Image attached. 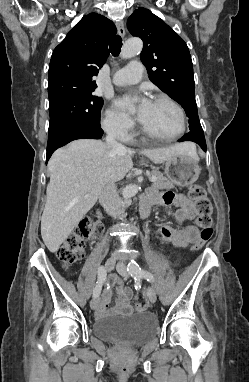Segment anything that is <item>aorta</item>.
I'll return each mask as SVG.
<instances>
[{
	"instance_id": "762f6f07",
	"label": "aorta",
	"mask_w": 249,
	"mask_h": 382,
	"mask_svg": "<svg viewBox=\"0 0 249 382\" xmlns=\"http://www.w3.org/2000/svg\"><path fill=\"white\" fill-rule=\"evenodd\" d=\"M143 48V43L139 38H130L128 39L121 49V57L123 59L132 58L135 55L139 54ZM138 192L137 185H129L123 190V197L130 198L136 195Z\"/></svg>"
}]
</instances>
